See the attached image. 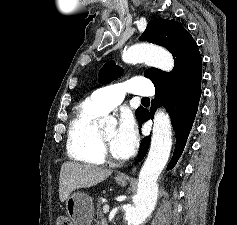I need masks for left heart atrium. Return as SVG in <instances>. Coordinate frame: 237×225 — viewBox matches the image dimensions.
Wrapping results in <instances>:
<instances>
[{
  "label": "left heart atrium",
  "instance_id": "obj_1",
  "mask_svg": "<svg viewBox=\"0 0 237 225\" xmlns=\"http://www.w3.org/2000/svg\"><path fill=\"white\" fill-rule=\"evenodd\" d=\"M138 145L136 122L130 113H123L116 129L114 149L120 158L130 157Z\"/></svg>",
  "mask_w": 237,
  "mask_h": 225
}]
</instances>
